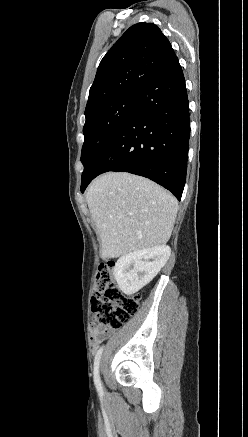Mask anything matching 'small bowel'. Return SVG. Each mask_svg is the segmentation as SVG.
Returning a JSON list of instances; mask_svg holds the SVG:
<instances>
[{
    "label": "small bowel",
    "mask_w": 248,
    "mask_h": 437,
    "mask_svg": "<svg viewBox=\"0 0 248 437\" xmlns=\"http://www.w3.org/2000/svg\"><path fill=\"white\" fill-rule=\"evenodd\" d=\"M112 333V330L105 327H92L91 328V340L93 346L96 347L100 344L108 335Z\"/></svg>",
    "instance_id": "small-bowel-1"
}]
</instances>
